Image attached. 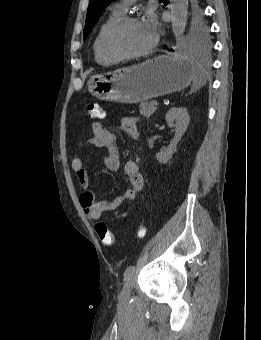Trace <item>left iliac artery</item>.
<instances>
[{
  "instance_id": "44dca946",
  "label": "left iliac artery",
  "mask_w": 261,
  "mask_h": 340,
  "mask_svg": "<svg viewBox=\"0 0 261 340\" xmlns=\"http://www.w3.org/2000/svg\"><path fill=\"white\" fill-rule=\"evenodd\" d=\"M135 271V266L131 265L129 267H127V269L124 272V281H128L130 279V277L132 276V274Z\"/></svg>"
}]
</instances>
